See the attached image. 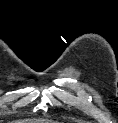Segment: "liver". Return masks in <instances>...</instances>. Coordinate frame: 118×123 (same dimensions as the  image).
I'll use <instances>...</instances> for the list:
<instances>
[{"label": "liver", "mask_w": 118, "mask_h": 123, "mask_svg": "<svg viewBox=\"0 0 118 123\" xmlns=\"http://www.w3.org/2000/svg\"><path fill=\"white\" fill-rule=\"evenodd\" d=\"M14 123H52V121L42 119H25V120H17Z\"/></svg>", "instance_id": "obj_1"}]
</instances>
